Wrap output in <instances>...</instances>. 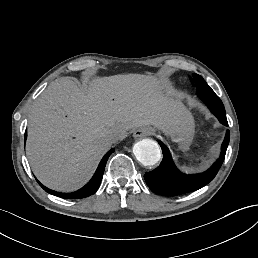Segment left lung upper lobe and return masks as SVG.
<instances>
[{
    "label": "left lung upper lobe",
    "instance_id": "obj_1",
    "mask_svg": "<svg viewBox=\"0 0 258 258\" xmlns=\"http://www.w3.org/2000/svg\"><path fill=\"white\" fill-rule=\"evenodd\" d=\"M193 80H194V82L195 83H197V82H205V80L200 76V75H198V74H193ZM192 79H191V81H193Z\"/></svg>",
    "mask_w": 258,
    "mask_h": 258
}]
</instances>
